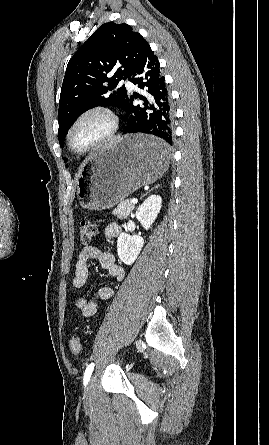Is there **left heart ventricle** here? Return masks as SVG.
<instances>
[{"instance_id":"b2bd125f","label":"left heart ventricle","mask_w":269,"mask_h":445,"mask_svg":"<svg viewBox=\"0 0 269 445\" xmlns=\"http://www.w3.org/2000/svg\"><path fill=\"white\" fill-rule=\"evenodd\" d=\"M105 129V122L100 117H90L83 121L73 135V144L82 148L98 137Z\"/></svg>"}]
</instances>
